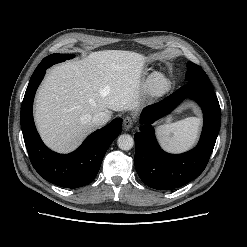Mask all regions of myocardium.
Listing matches in <instances>:
<instances>
[{
  "label": "myocardium",
  "instance_id": "1",
  "mask_svg": "<svg viewBox=\"0 0 247 247\" xmlns=\"http://www.w3.org/2000/svg\"><path fill=\"white\" fill-rule=\"evenodd\" d=\"M171 82L169 78L162 73L151 75L146 83L147 91L153 96H162L169 91Z\"/></svg>",
  "mask_w": 247,
  "mask_h": 247
}]
</instances>
